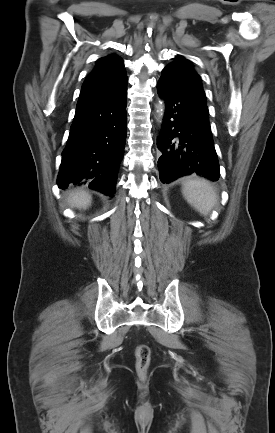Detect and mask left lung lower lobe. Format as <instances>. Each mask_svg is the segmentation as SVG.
I'll return each mask as SVG.
<instances>
[{"label": "left lung lower lobe", "instance_id": "0a47b994", "mask_svg": "<svg viewBox=\"0 0 275 433\" xmlns=\"http://www.w3.org/2000/svg\"><path fill=\"white\" fill-rule=\"evenodd\" d=\"M157 91L167 109L157 140L162 153L158 159L161 182L191 174L218 180L220 170L206 104L164 78L159 79Z\"/></svg>", "mask_w": 275, "mask_h": 433}]
</instances>
